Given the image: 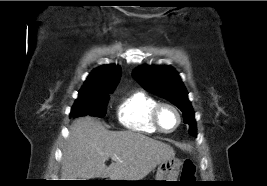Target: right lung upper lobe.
<instances>
[{
	"label": "right lung upper lobe",
	"instance_id": "obj_1",
	"mask_svg": "<svg viewBox=\"0 0 267 186\" xmlns=\"http://www.w3.org/2000/svg\"><path fill=\"white\" fill-rule=\"evenodd\" d=\"M121 68L115 65H102L93 70L87 77L79 92L99 91L103 89H113L119 82Z\"/></svg>",
	"mask_w": 267,
	"mask_h": 186
}]
</instances>
